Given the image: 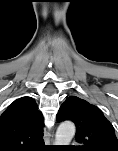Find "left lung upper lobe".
Masks as SVG:
<instances>
[{"instance_id":"obj_1","label":"left lung upper lobe","mask_w":118,"mask_h":151,"mask_svg":"<svg viewBox=\"0 0 118 151\" xmlns=\"http://www.w3.org/2000/svg\"><path fill=\"white\" fill-rule=\"evenodd\" d=\"M71 120L76 125V141L80 151H118V140L112 124L102 111L77 96H70L61 105L57 121Z\"/></svg>"}]
</instances>
